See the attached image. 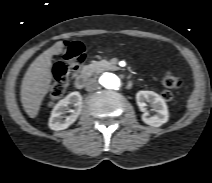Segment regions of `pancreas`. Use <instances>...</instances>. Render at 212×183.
I'll return each mask as SVG.
<instances>
[{
    "label": "pancreas",
    "mask_w": 212,
    "mask_h": 183,
    "mask_svg": "<svg viewBox=\"0 0 212 183\" xmlns=\"http://www.w3.org/2000/svg\"><path fill=\"white\" fill-rule=\"evenodd\" d=\"M117 59L101 60V61H94L89 64L86 68V71L90 74L94 73H101L103 71H115L118 70L119 67L116 66Z\"/></svg>",
    "instance_id": "obj_1"
}]
</instances>
